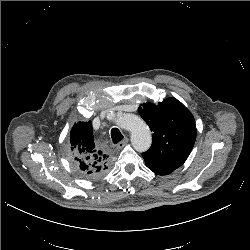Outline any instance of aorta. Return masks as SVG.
<instances>
[{
  "label": "aorta",
  "instance_id": "1",
  "mask_svg": "<svg viewBox=\"0 0 250 250\" xmlns=\"http://www.w3.org/2000/svg\"><path fill=\"white\" fill-rule=\"evenodd\" d=\"M114 121L119 127L130 131L131 143L135 150L145 152L150 148L152 136L142 119L133 114H125L117 116Z\"/></svg>",
  "mask_w": 250,
  "mask_h": 250
}]
</instances>
